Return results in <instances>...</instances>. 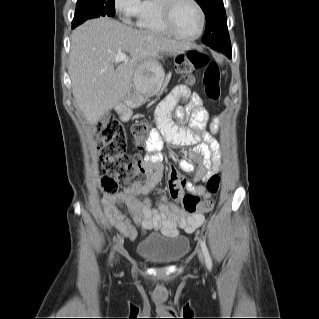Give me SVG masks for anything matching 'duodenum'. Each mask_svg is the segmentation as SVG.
<instances>
[{
	"instance_id": "duodenum-1",
	"label": "duodenum",
	"mask_w": 319,
	"mask_h": 319,
	"mask_svg": "<svg viewBox=\"0 0 319 319\" xmlns=\"http://www.w3.org/2000/svg\"><path fill=\"white\" fill-rule=\"evenodd\" d=\"M131 110L132 104H130L129 101L121 103L117 107V113L122 120H126L129 118Z\"/></svg>"
}]
</instances>
